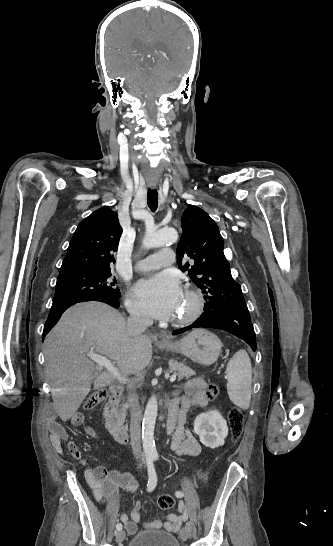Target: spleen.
Masks as SVG:
<instances>
[{
	"instance_id": "obj_1",
	"label": "spleen",
	"mask_w": 333,
	"mask_h": 546,
	"mask_svg": "<svg viewBox=\"0 0 333 546\" xmlns=\"http://www.w3.org/2000/svg\"><path fill=\"white\" fill-rule=\"evenodd\" d=\"M226 375L229 398L241 409H248L252 393V367L245 350H239L231 358L227 365Z\"/></svg>"
}]
</instances>
